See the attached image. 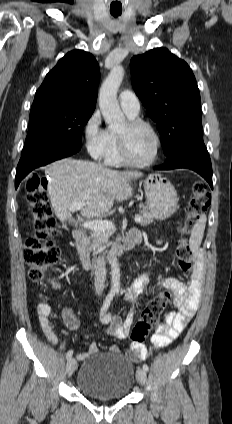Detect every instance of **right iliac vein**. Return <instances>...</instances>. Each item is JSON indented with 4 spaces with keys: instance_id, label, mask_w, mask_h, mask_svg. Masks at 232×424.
<instances>
[{
    "instance_id": "1",
    "label": "right iliac vein",
    "mask_w": 232,
    "mask_h": 424,
    "mask_svg": "<svg viewBox=\"0 0 232 424\" xmlns=\"http://www.w3.org/2000/svg\"><path fill=\"white\" fill-rule=\"evenodd\" d=\"M76 366H77L76 359L70 358L68 360L67 366H66V371H67L68 376H71L74 373Z\"/></svg>"
}]
</instances>
